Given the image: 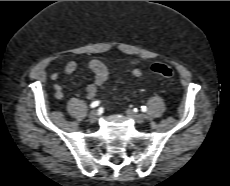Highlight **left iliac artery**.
<instances>
[{
    "label": "left iliac artery",
    "mask_w": 230,
    "mask_h": 186,
    "mask_svg": "<svg viewBox=\"0 0 230 186\" xmlns=\"http://www.w3.org/2000/svg\"><path fill=\"white\" fill-rule=\"evenodd\" d=\"M141 111H142V112H146V111H147V107H146V106H142V107H141Z\"/></svg>",
    "instance_id": "left-iliac-artery-1"
}]
</instances>
